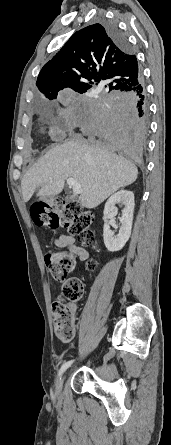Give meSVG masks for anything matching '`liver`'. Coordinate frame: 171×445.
<instances>
[{
  "label": "liver",
  "mask_w": 171,
  "mask_h": 445,
  "mask_svg": "<svg viewBox=\"0 0 171 445\" xmlns=\"http://www.w3.org/2000/svg\"><path fill=\"white\" fill-rule=\"evenodd\" d=\"M137 175L133 162L113 157L100 144L71 140L50 149L26 172L21 181L23 200L28 202L37 189L41 197L58 195L65 180L74 178L82 189L81 205L91 209L135 182Z\"/></svg>",
  "instance_id": "liver-1"
}]
</instances>
